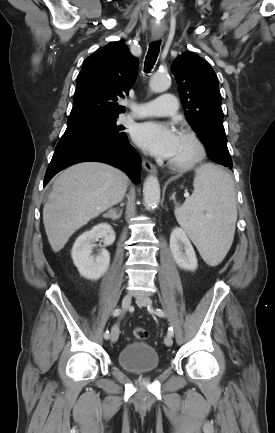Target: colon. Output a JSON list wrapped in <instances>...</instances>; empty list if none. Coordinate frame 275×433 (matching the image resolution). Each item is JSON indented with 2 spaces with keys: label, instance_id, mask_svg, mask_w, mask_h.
<instances>
[{
  "label": "colon",
  "instance_id": "5ec220e1",
  "mask_svg": "<svg viewBox=\"0 0 275 433\" xmlns=\"http://www.w3.org/2000/svg\"><path fill=\"white\" fill-rule=\"evenodd\" d=\"M133 334H134L135 338L139 339V340H145L148 338V335H149L148 331L143 327H136L133 330Z\"/></svg>",
  "mask_w": 275,
  "mask_h": 433
}]
</instances>
